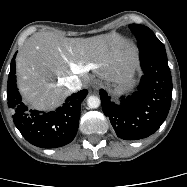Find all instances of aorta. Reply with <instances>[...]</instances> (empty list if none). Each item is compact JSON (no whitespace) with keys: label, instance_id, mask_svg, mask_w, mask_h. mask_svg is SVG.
I'll use <instances>...</instances> for the list:
<instances>
[{"label":"aorta","instance_id":"1","mask_svg":"<svg viewBox=\"0 0 187 187\" xmlns=\"http://www.w3.org/2000/svg\"><path fill=\"white\" fill-rule=\"evenodd\" d=\"M100 98L97 96H89L87 99V105L91 109L98 108L100 106Z\"/></svg>","mask_w":187,"mask_h":187}]
</instances>
